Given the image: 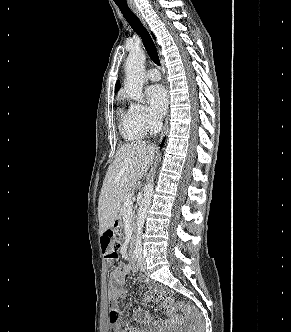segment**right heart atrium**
Wrapping results in <instances>:
<instances>
[{
    "label": "right heart atrium",
    "instance_id": "obj_1",
    "mask_svg": "<svg viewBox=\"0 0 291 332\" xmlns=\"http://www.w3.org/2000/svg\"><path fill=\"white\" fill-rule=\"evenodd\" d=\"M131 124L142 133H148L157 127V122L152 119L149 109L138 102H132L129 106Z\"/></svg>",
    "mask_w": 291,
    "mask_h": 332
}]
</instances>
